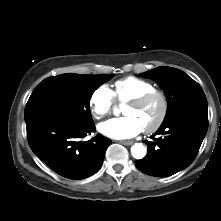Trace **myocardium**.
Instances as JSON below:
<instances>
[{"instance_id":"myocardium-1","label":"myocardium","mask_w":221,"mask_h":221,"mask_svg":"<svg viewBox=\"0 0 221 221\" xmlns=\"http://www.w3.org/2000/svg\"><path fill=\"white\" fill-rule=\"evenodd\" d=\"M154 99L160 100L161 112H160L158 119L154 122V124H152L151 126L147 128H144V131L146 133H154L157 130H159L161 126L164 124L168 116V112H169V100H168L166 93L161 90L154 89L150 92L145 93L144 95L140 97H137L127 102V105L141 107V106L148 104Z\"/></svg>"}]
</instances>
